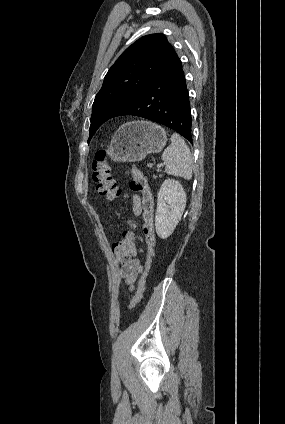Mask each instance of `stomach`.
<instances>
[{
    "label": "stomach",
    "mask_w": 285,
    "mask_h": 424,
    "mask_svg": "<svg viewBox=\"0 0 285 424\" xmlns=\"http://www.w3.org/2000/svg\"><path fill=\"white\" fill-rule=\"evenodd\" d=\"M165 130L151 122L132 121L115 132L108 155L115 162L143 160L150 153L160 152L166 145Z\"/></svg>",
    "instance_id": "stomach-1"
}]
</instances>
